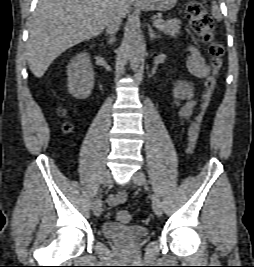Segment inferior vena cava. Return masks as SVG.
I'll list each match as a JSON object with an SVG mask.
<instances>
[{
  "instance_id": "inferior-vena-cava-1",
  "label": "inferior vena cava",
  "mask_w": 254,
  "mask_h": 267,
  "mask_svg": "<svg viewBox=\"0 0 254 267\" xmlns=\"http://www.w3.org/2000/svg\"><path fill=\"white\" fill-rule=\"evenodd\" d=\"M118 3V0H117ZM121 18L117 11H114L107 20L106 27L109 36H113L120 27Z\"/></svg>"
}]
</instances>
